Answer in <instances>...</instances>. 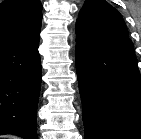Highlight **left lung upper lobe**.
<instances>
[{"instance_id": "5c2ea615", "label": "left lung upper lobe", "mask_w": 141, "mask_h": 139, "mask_svg": "<svg viewBox=\"0 0 141 139\" xmlns=\"http://www.w3.org/2000/svg\"><path fill=\"white\" fill-rule=\"evenodd\" d=\"M77 21L101 32L128 37L122 16L105 0H86Z\"/></svg>"}]
</instances>
